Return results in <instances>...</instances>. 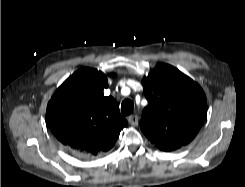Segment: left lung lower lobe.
<instances>
[{
	"instance_id": "obj_1",
	"label": "left lung lower lobe",
	"mask_w": 245,
	"mask_h": 187,
	"mask_svg": "<svg viewBox=\"0 0 245 187\" xmlns=\"http://www.w3.org/2000/svg\"><path fill=\"white\" fill-rule=\"evenodd\" d=\"M178 148H180V147H178ZM178 148H176V149H178ZM173 150H175V149H173ZM169 151H172V150H169Z\"/></svg>"
}]
</instances>
